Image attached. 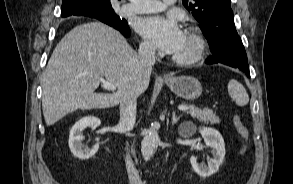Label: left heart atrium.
Returning a JSON list of instances; mask_svg holds the SVG:
<instances>
[{
	"instance_id": "39dd6f15",
	"label": "left heart atrium",
	"mask_w": 293,
	"mask_h": 184,
	"mask_svg": "<svg viewBox=\"0 0 293 184\" xmlns=\"http://www.w3.org/2000/svg\"><path fill=\"white\" fill-rule=\"evenodd\" d=\"M139 33L163 52L174 54L179 48L183 31L171 17L151 16L138 24Z\"/></svg>"
}]
</instances>
